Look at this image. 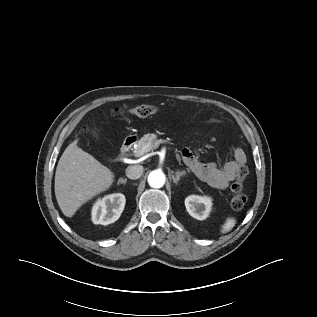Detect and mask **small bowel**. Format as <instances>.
Listing matches in <instances>:
<instances>
[{
  "label": "small bowel",
  "instance_id": "small-bowel-1",
  "mask_svg": "<svg viewBox=\"0 0 317 317\" xmlns=\"http://www.w3.org/2000/svg\"><path fill=\"white\" fill-rule=\"evenodd\" d=\"M182 158L196 177L218 189L228 188L230 183L238 178L240 168L246 166L247 162L246 153L242 148H236L232 160L222 166L199 161L190 149L182 151Z\"/></svg>",
  "mask_w": 317,
  "mask_h": 317
}]
</instances>
